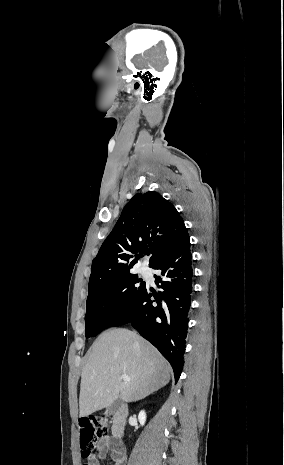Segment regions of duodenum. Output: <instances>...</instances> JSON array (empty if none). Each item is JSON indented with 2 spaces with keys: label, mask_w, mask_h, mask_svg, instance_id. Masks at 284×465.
Wrapping results in <instances>:
<instances>
[{
  "label": "duodenum",
  "mask_w": 284,
  "mask_h": 465,
  "mask_svg": "<svg viewBox=\"0 0 284 465\" xmlns=\"http://www.w3.org/2000/svg\"><path fill=\"white\" fill-rule=\"evenodd\" d=\"M112 427L111 434L114 439H119L124 433L126 420L128 417V409L124 405H119L112 408Z\"/></svg>",
  "instance_id": "duodenum-1"
}]
</instances>
